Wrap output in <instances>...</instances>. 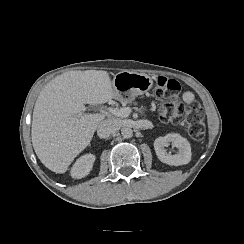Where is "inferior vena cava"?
<instances>
[{"label": "inferior vena cava", "instance_id": "obj_1", "mask_svg": "<svg viewBox=\"0 0 244 244\" xmlns=\"http://www.w3.org/2000/svg\"><path fill=\"white\" fill-rule=\"evenodd\" d=\"M120 129V125L116 120L106 119L103 120L98 126V136L101 138H107L111 134L116 133Z\"/></svg>", "mask_w": 244, "mask_h": 244}]
</instances>
